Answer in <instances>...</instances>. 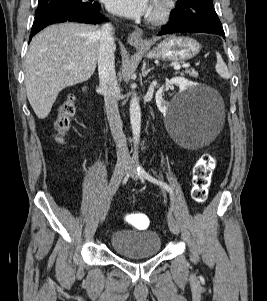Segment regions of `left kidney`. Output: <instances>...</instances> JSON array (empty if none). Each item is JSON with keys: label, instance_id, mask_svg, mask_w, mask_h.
I'll list each match as a JSON object with an SVG mask.
<instances>
[{"label": "left kidney", "instance_id": "left-kidney-1", "mask_svg": "<svg viewBox=\"0 0 267 301\" xmlns=\"http://www.w3.org/2000/svg\"><path fill=\"white\" fill-rule=\"evenodd\" d=\"M166 85H177L180 89V93H183L191 88L198 87L197 84H194L183 77H174L167 81ZM163 89L164 86L159 88V90L156 93V104L161 112H166L169 103L166 102L163 98Z\"/></svg>", "mask_w": 267, "mask_h": 301}]
</instances>
